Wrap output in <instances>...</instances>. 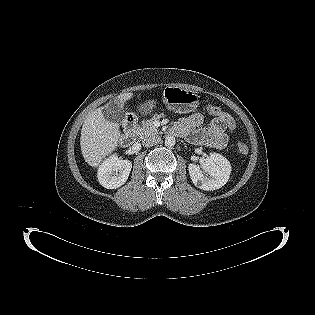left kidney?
Instances as JSON below:
<instances>
[{
  "mask_svg": "<svg viewBox=\"0 0 315 315\" xmlns=\"http://www.w3.org/2000/svg\"><path fill=\"white\" fill-rule=\"evenodd\" d=\"M189 175L195 186L212 191L224 186L231 173L230 162L218 153H211L202 166L189 164Z\"/></svg>",
  "mask_w": 315,
  "mask_h": 315,
  "instance_id": "obj_1",
  "label": "left kidney"
}]
</instances>
